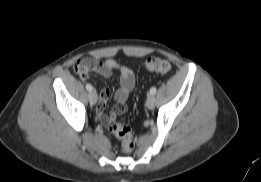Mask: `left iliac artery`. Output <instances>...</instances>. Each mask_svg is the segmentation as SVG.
Here are the masks:
<instances>
[{
    "label": "left iliac artery",
    "mask_w": 261,
    "mask_h": 182,
    "mask_svg": "<svg viewBox=\"0 0 261 182\" xmlns=\"http://www.w3.org/2000/svg\"><path fill=\"white\" fill-rule=\"evenodd\" d=\"M156 91H157L156 87H152V88L150 89V94H151V95H154V94L156 93Z\"/></svg>",
    "instance_id": "1"
}]
</instances>
